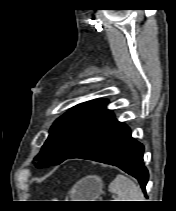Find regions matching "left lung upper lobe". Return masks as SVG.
Returning <instances> with one entry per match:
<instances>
[{
  "mask_svg": "<svg viewBox=\"0 0 176 211\" xmlns=\"http://www.w3.org/2000/svg\"><path fill=\"white\" fill-rule=\"evenodd\" d=\"M106 104V100L81 103L58 118L40 153L34 158L39 160L36 166L42 168L58 165L81 149L114 118V114L106 109Z\"/></svg>",
  "mask_w": 176,
  "mask_h": 211,
  "instance_id": "left-lung-upper-lobe-1",
  "label": "left lung upper lobe"
}]
</instances>
